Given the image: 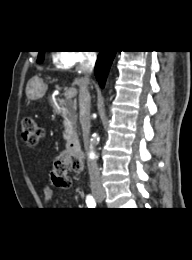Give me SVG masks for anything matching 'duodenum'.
I'll list each match as a JSON object with an SVG mask.
<instances>
[{
	"label": "duodenum",
	"instance_id": "410a0bca",
	"mask_svg": "<svg viewBox=\"0 0 192 260\" xmlns=\"http://www.w3.org/2000/svg\"><path fill=\"white\" fill-rule=\"evenodd\" d=\"M66 150L69 154L80 156L82 154V148L77 136L72 135L68 140Z\"/></svg>",
	"mask_w": 192,
	"mask_h": 260
}]
</instances>
